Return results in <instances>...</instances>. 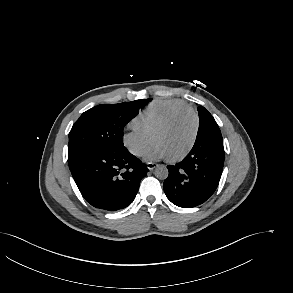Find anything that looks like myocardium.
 I'll return each instance as SVG.
<instances>
[{
	"mask_svg": "<svg viewBox=\"0 0 293 293\" xmlns=\"http://www.w3.org/2000/svg\"><path fill=\"white\" fill-rule=\"evenodd\" d=\"M185 114H191L194 118L195 127H194L193 137H192V140H191L189 146L181 154L174 156V157H168V160L171 162H178V161L183 160L193 150V148L197 142L199 130H200V117H199L198 113L191 107L177 110L173 114H171L163 123H161L151 135V140L153 141L156 135H158L159 133H161L164 130H166L167 128H169L177 118H179L180 116H183Z\"/></svg>",
	"mask_w": 293,
	"mask_h": 293,
	"instance_id": "obj_1",
	"label": "myocardium"
}]
</instances>
